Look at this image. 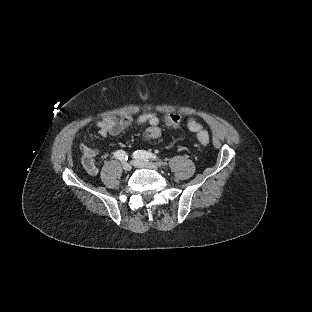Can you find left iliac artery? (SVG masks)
Here are the masks:
<instances>
[{
	"mask_svg": "<svg viewBox=\"0 0 312 312\" xmlns=\"http://www.w3.org/2000/svg\"><path fill=\"white\" fill-rule=\"evenodd\" d=\"M133 157L135 159H144V160H147L148 159H151V160H159V157L151 152H147V151H144V150H138V151H135L133 153Z\"/></svg>",
	"mask_w": 312,
	"mask_h": 312,
	"instance_id": "1",
	"label": "left iliac artery"
}]
</instances>
